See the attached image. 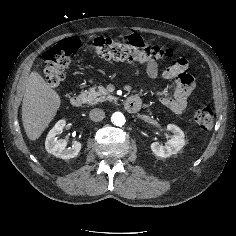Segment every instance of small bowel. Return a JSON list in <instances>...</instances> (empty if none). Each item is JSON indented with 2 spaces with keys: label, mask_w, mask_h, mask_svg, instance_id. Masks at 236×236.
I'll use <instances>...</instances> for the list:
<instances>
[{
  "label": "small bowel",
  "mask_w": 236,
  "mask_h": 236,
  "mask_svg": "<svg viewBox=\"0 0 236 236\" xmlns=\"http://www.w3.org/2000/svg\"><path fill=\"white\" fill-rule=\"evenodd\" d=\"M127 40L142 43V40L137 36H129ZM188 66V61L185 58H179L161 73L163 80L175 81L176 89L172 96L161 97L160 102L177 114H183L189 109V96L194 88V79L187 71ZM146 73L150 78L156 79L159 76L157 63L147 64ZM133 74L138 76L139 72L135 70Z\"/></svg>",
  "instance_id": "obj_1"
}]
</instances>
